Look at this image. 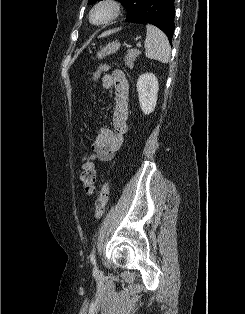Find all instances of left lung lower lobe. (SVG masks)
I'll return each instance as SVG.
<instances>
[{
    "label": "left lung lower lobe",
    "instance_id": "1",
    "mask_svg": "<svg viewBox=\"0 0 245 314\" xmlns=\"http://www.w3.org/2000/svg\"><path fill=\"white\" fill-rule=\"evenodd\" d=\"M174 15V0H144L139 11L126 20L153 24L161 29L171 42L174 33Z\"/></svg>",
    "mask_w": 245,
    "mask_h": 314
}]
</instances>
